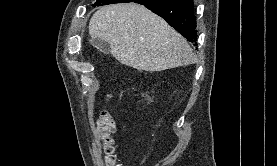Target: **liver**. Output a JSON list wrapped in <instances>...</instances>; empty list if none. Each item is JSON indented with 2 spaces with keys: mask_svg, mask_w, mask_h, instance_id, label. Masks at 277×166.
Segmentation results:
<instances>
[{
  "mask_svg": "<svg viewBox=\"0 0 277 166\" xmlns=\"http://www.w3.org/2000/svg\"><path fill=\"white\" fill-rule=\"evenodd\" d=\"M89 35L108 42L116 60L138 70L163 71L196 61L186 39L136 3L101 7L90 19Z\"/></svg>",
  "mask_w": 277,
  "mask_h": 166,
  "instance_id": "liver-1",
  "label": "liver"
}]
</instances>
